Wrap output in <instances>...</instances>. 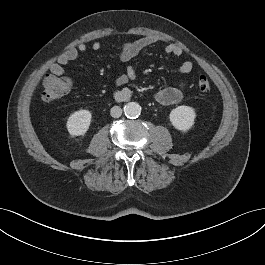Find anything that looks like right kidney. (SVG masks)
<instances>
[{
	"label": "right kidney",
	"mask_w": 265,
	"mask_h": 265,
	"mask_svg": "<svg viewBox=\"0 0 265 265\" xmlns=\"http://www.w3.org/2000/svg\"><path fill=\"white\" fill-rule=\"evenodd\" d=\"M91 118L88 110H79L71 114L66 123L69 134L72 137L84 135L89 129Z\"/></svg>",
	"instance_id": "ca27d5eb"
}]
</instances>
